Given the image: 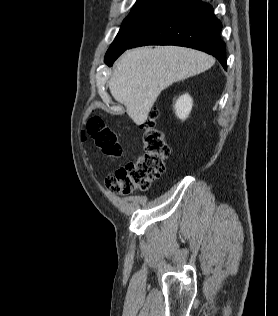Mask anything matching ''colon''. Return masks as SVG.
Wrapping results in <instances>:
<instances>
[{
    "label": "colon",
    "mask_w": 278,
    "mask_h": 316,
    "mask_svg": "<svg viewBox=\"0 0 278 316\" xmlns=\"http://www.w3.org/2000/svg\"><path fill=\"white\" fill-rule=\"evenodd\" d=\"M158 111L152 110L141 124L143 153L134 161L118 168L106 180L107 188L117 194L145 191L165 170V159L170 153L162 132L156 127ZM87 134L101 151L112 159L122 155L117 133L105 125L100 117H92Z\"/></svg>",
    "instance_id": "1"
}]
</instances>
